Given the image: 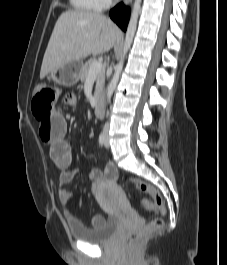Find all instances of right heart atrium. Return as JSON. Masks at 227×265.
Listing matches in <instances>:
<instances>
[{
  "label": "right heart atrium",
  "instance_id": "right-heart-atrium-1",
  "mask_svg": "<svg viewBox=\"0 0 227 265\" xmlns=\"http://www.w3.org/2000/svg\"><path fill=\"white\" fill-rule=\"evenodd\" d=\"M96 1H97L98 8H104L108 6L112 0H96Z\"/></svg>",
  "mask_w": 227,
  "mask_h": 265
}]
</instances>
